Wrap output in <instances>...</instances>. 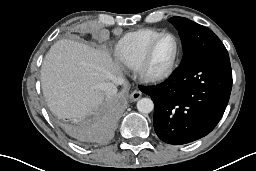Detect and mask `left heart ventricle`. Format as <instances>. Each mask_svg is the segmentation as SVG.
Returning <instances> with one entry per match:
<instances>
[{
    "instance_id": "left-heart-ventricle-1",
    "label": "left heart ventricle",
    "mask_w": 256,
    "mask_h": 171,
    "mask_svg": "<svg viewBox=\"0 0 256 171\" xmlns=\"http://www.w3.org/2000/svg\"><path fill=\"white\" fill-rule=\"evenodd\" d=\"M175 53V41L172 37H164L156 45L151 62L150 68L152 71L164 70L172 61Z\"/></svg>"
}]
</instances>
